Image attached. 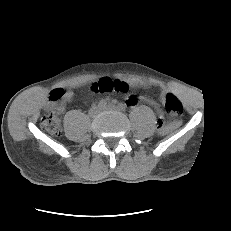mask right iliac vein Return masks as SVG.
Here are the masks:
<instances>
[{
    "label": "right iliac vein",
    "mask_w": 231,
    "mask_h": 231,
    "mask_svg": "<svg viewBox=\"0 0 231 231\" xmlns=\"http://www.w3.org/2000/svg\"><path fill=\"white\" fill-rule=\"evenodd\" d=\"M101 111V108L99 106H95L90 110L91 116H96Z\"/></svg>",
    "instance_id": "obj_1"
}]
</instances>
